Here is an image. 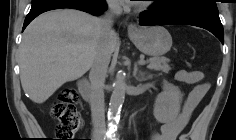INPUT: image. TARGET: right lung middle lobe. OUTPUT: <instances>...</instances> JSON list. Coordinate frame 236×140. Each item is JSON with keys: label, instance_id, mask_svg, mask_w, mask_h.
Wrapping results in <instances>:
<instances>
[{"label": "right lung middle lobe", "instance_id": "right-lung-middle-lobe-1", "mask_svg": "<svg viewBox=\"0 0 236 140\" xmlns=\"http://www.w3.org/2000/svg\"><path fill=\"white\" fill-rule=\"evenodd\" d=\"M39 1H42V0H32V3H36V2H39ZM94 5H99L101 4V0H86Z\"/></svg>", "mask_w": 236, "mask_h": 140}]
</instances>
